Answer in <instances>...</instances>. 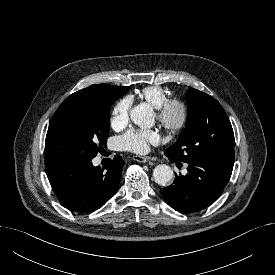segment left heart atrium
Masks as SVG:
<instances>
[{
  "mask_svg": "<svg viewBox=\"0 0 275 275\" xmlns=\"http://www.w3.org/2000/svg\"><path fill=\"white\" fill-rule=\"evenodd\" d=\"M160 141V135L156 130H130L121 138L120 142L123 148L135 153H145L149 144H157Z\"/></svg>",
  "mask_w": 275,
  "mask_h": 275,
  "instance_id": "1",
  "label": "left heart atrium"
}]
</instances>
